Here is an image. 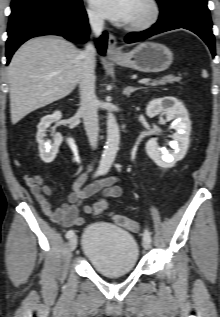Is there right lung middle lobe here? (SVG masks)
Wrapping results in <instances>:
<instances>
[{
	"mask_svg": "<svg viewBox=\"0 0 220 317\" xmlns=\"http://www.w3.org/2000/svg\"><path fill=\"white\" fill-rule=\"evenodd\" d=\"M82 5V0H12V13L29 7H56L62 9H75Z\"/></svg>",
	"mask_w": 220,
	"mask_h": 317,
	"instance_id": "dd1d6c3e",
	"label": "right lung middle lobe"
}]
</instances>
